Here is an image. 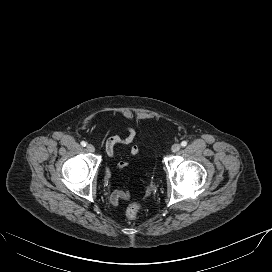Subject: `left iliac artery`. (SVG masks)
Masks as SVG:
<instances>
[{
  "label": "left iliac artery",
  "instance_id": "44dca946",
  "mask_svg": "<svg viewBox=\"0 0 272 272\" xmlns=\"http://www.w3.org/2000/svg\"><path fill=\"white\" fill-rule=\"evenodd\" d=\"M186 145H187V142H186V141H182V142H181V146H182V147H185Z\"/></svg>",
  "mask_w": 272,
  "mask_h": 272
}]
</instances>
